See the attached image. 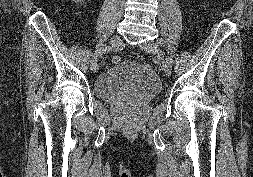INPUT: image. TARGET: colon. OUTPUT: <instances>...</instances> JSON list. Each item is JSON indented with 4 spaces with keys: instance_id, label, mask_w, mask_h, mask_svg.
I'll return each instance as SVG.
<instances>
[{
    "instance_id": "5ec220e1",
    "label": "colon",
    "mask_w": 253,
    "mask_h": 177,
    "mask_svg": "<svg viewBox=\"0 0 253 177\" xmlns=\"http://www.w3.org/2000/svg\"><path fill=\"white\" fill-rule=\"evenodd\" d=\"M112 62H113V64H118V63L121 62V59H120L119 56H114V57L112 58Z\"/></svg>"
}]
</instances>
